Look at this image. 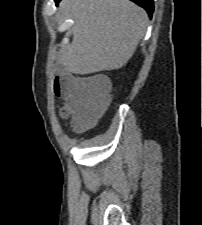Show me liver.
<instances>
[{
	"instance_id": "6515ba94",
	"label": "liver",
	"mask_w": 202,
	"mask_h": 225,
	"mask_svg": "<svg viewBox=\"0 0 202 225\" xmlns=\"http://www.w3.org/2000/svg\"><path fill=\"white\" fill-rule=\"evenodd\" d=\"M59 9L74 21L72 42L61 55L73 74L121 68L148 24L146 11L129 0H63Z\"/></svg>"
}]
</instances>
